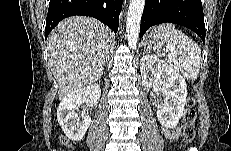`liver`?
<instances>
[{
	"instance_id": "6515ba94",
	"label": "liver",
	"mask_w": 231,
	"mask_h": 151,
	"mask_svg": "<svg viewBox=\"0 0 231 151\" xmlns=\"http://www.w3.org/2000/svg\"><path fill=\"white\" fill-rule=\"evenodd\" d=\"M112 33L89 17H70L49 34V63L59 85L58 97L91 85L103 74Z\"/></svg>"
}]
</instances>
